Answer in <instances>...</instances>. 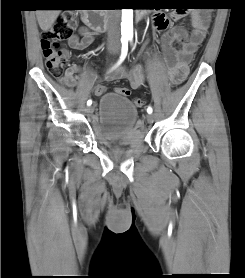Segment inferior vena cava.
<instances>
[{
	"instance_id": "602c4592",
	"label": "inferior vena cava",
	"mask_w": 245,
	"mask_h": 278,
	"mask_svg": "<svg viewBox=\"0 0 245 278\" xmlns=\"http://www.w3.org/2000/svg\"><path fill=\"white\" fill-rule=\"evenodd\" d=\"M119 10H112L109 18L108 43L118 44L120 39Z\"/></svg>"
}]
</instances>
